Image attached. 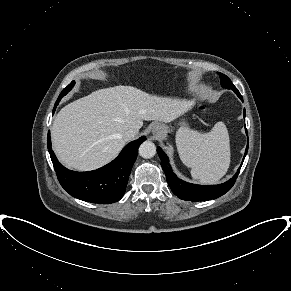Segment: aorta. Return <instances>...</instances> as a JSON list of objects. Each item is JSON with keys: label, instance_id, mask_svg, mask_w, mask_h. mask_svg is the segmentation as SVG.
Returning <instances> with one entry per match:
<instances>
[{"label": "aorta", "instance_id": "762f6f07", "mask_svg": "<svg viewBox=\"0 0 291 291\" xmlns=\"http://www.w3.org/2000/svg\"><path fill=\"white\" fill-rule=\"evenodd\" d=\"M156 154V146L151 141H144L139 147V155L145 159L152 158Z\"/></svg>", "mask_w": 291, "mask_h": 291}]
</instances>
